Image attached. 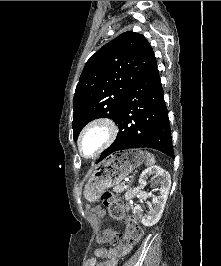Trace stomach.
Instances as JSON below:
<instances>
[{
    "label": "stomach",
    "mask_w": 221,
    "mask_h": 266,
    "mask_svg": "<svg viewBox=\"0 0 221 266\" xmlns=\"http://www.w3.org/2000/svg\"><path fill=\"white\" fill-rule=\"evenodd\" d=\"M145 159L141 150L121 151L108 156L95 166L84 188V196L89 202H95L108 188L118 184Z\"/></svg>",
    "instance_id": "1"
}]
</instances>
